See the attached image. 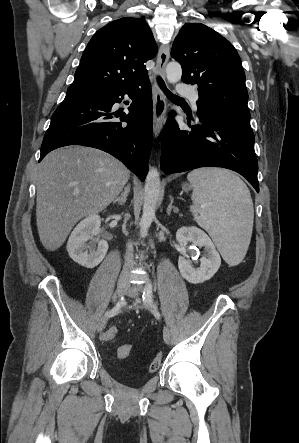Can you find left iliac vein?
I'll return each mask as SVG.
<instances>
[{"label": "left iliac vein", "mask_w": 299, "mask_h": 443, "mask_svg": "<svg viewBox=\"0 0 299 443\" xmlns=\"http://www.w3.org/2000/svg\"><path fill=\"white\" fill-rule=\"evenodd\" d=\"M142 290V287L140 286V285H134V286H129L128 288H127V294L129 295V296H132V297H139V292ZM145 290V289H144ZM144 306L147 308V309H152V307H151V305L148 303V302H146V301H144ZM163 338H164V341H165V343H169V341H170V338H171V333H170V330H169V328L168 327H164V330H163Z\"/></svg>", "instance_id": "1"}]
</instances>
